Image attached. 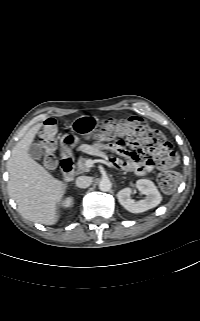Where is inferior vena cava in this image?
Segmentation results:
<instances>
[{
  "label": "inferior vena cava",
  "instance_id": "602c4592",
  "mask_svg": "<svg viewBox=\"0 0 200 321\" xmlns=\"http://www.w3.org/2000/svg\"><path fill=\"white\" fill-rule=\"evenodd\" d=\"M92 179L88 176H79L76 179V186L79 188H87L91 185Z\"/></svg>",
  "mask_w": 200,
  "mask_h": 321
}]
</instances>
